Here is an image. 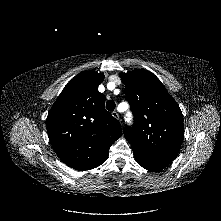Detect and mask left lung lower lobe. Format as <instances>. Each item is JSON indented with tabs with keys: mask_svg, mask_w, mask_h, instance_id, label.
<instances>
[{
	"mask_svg": "<svg viewBox=\"0 0 221 221\" xmlns=\"http://www.w3.org/2000/svg\"><path fill=\"white\" fill-rule=\"evenodd\" d=\"M135 156L136 162L142 166L143 168L149 170V171H161L162 169H164L167 164L164 163H157V162H153L147 159H144L142 157L139 156Z\"/></svg>",
	"mask_w": 221,
	"mask_h": 221,
	"instance_id": "left-lung-lower-lobe-1",
	"label": "left lung lower lobe"
}]
</instances>
